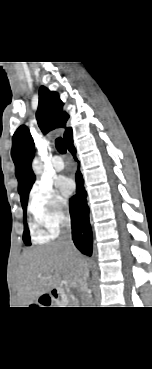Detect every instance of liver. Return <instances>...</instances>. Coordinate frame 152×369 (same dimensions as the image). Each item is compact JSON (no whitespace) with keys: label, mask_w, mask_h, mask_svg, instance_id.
<instances>
[{"label":"liver","mask_w":152,"mask_h":369,"mask_svg":"<svg viewBox=\"0 0 152 369\" xmlns=\"http://www.w3.org/2000/svg\"><path fill=\"white\" fill-rule=\"evenodd\" d=\"M85 267H88L87 260L76 249L69 251L61 242L25 251L16 281L18 294L30 304L62 281L79 286Z\"/></svg>","instance_id":"6515ba94"}]
</instances>
